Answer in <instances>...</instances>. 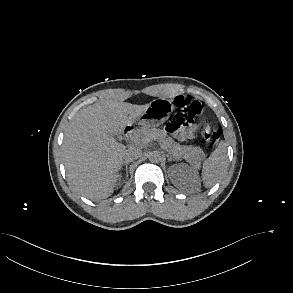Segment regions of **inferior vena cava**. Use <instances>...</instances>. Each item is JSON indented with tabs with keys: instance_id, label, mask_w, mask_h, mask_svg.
I'll list each match as a JSON object with an SVG mask.
<instances>
[{
	"instance_id": "602c4592",
	"label": "inferior vena cava",
	"mask_w": 293,
	"mask_h": 293,
	"mask_svg": "<svg viewBox=\"0 0 293 293\" xmlns=\"http://www.w3.org/2000/svg\"><path fill=\"white\" fill-rule=\"evenodd\" d=\"M142 155V150L136 147L129 148L124 153V159L127 162H132Z\"/></svg>"
}]
</instances>
